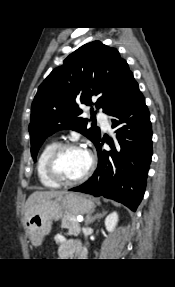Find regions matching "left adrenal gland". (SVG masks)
<instances>
[{
  "mask_svg": "<svg viewBox=\"0 0 175 287\" xmlns=\"http://www.w3.org/2000/svg\"><path fill=\"white\" fill-rule=\"evenodd\" d=\"M92 213H93V211L86 215L85 222L87 225L94 222V220H96L97 218L103 217L106 214V211H103L102 213H97L94 216H92Z\"/></svg>",
  "mask_w": 175,
  "mask_h": 287,
  "instance_id": "obj_1",
  "label": "left adrenal gland"
}]
</instances>
